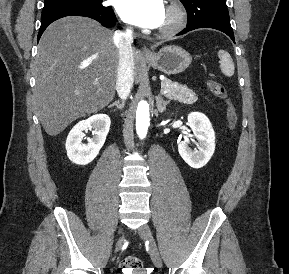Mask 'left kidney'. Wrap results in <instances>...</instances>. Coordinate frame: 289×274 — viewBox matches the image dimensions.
Segmentation results:
<instances>
[{"label":"left kidney","mask_w":289,"mask_h":274,"mask_svg":"<svg viewBox=\"0 0 289 274\" xmlns=\"http://www.w3.org/2000/svg\"><path fill=\"white\" fill-rule=\"evenodd\" d=\"M188 125L198 141V150H192L189 141H182L178 145V151L189 166L201 168L208 163L215 151V132L209 119L199 112L188 114Z\"/></svg>","instance_id":"5707ae66"}]
</instances>
